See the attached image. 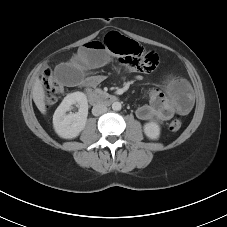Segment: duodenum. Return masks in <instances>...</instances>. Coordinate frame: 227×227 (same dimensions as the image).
<instances>
[{"mask_svg":"<svg viewBox=\"0 0 227 227\" xmlns=\"http://www.w3.org/2000/svg\"><path fill=\"white\" fill-rule=\"evenodd\" d=\"M86 97L91 104H111L117 101V96L111 93L97 91L94 89H87Z\"/></svg>","mask_w":227,"mask_h":227,"instance_id":"duodenum-1","label":"duodenum"}]
</instances>
